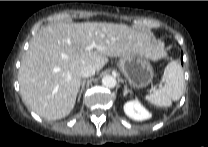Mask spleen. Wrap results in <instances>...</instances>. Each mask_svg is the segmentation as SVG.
<instances>
[{
  "label": "spleen",
  "instance_id": "1",
  "mask_svg": "<svg viewBox=\"0 0 208 147\" xmlns=\"http://www.w3.org/2000/svg\"><path fill=\"white\" fill-rule=\"evenodd\" d=\"M162 81L164 86L147 95L146 100L157 107H170L172 101L179 100L184 91L183 69L177 61L168 63Z\"/></svg>",
  "mask_w": 208,
  "mask_h": 147
}]
</instances>
